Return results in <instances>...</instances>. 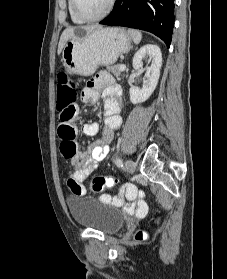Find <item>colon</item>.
<instances>
[{
  "label": "colon",
  "mask_w": 227,
  "mask_h": 279,
  "mask_svg": "<svg viewBox=\"0 0 227 279\" xmlns=\"http://www.w3.org/2000/svg\"><path fill=\"white\" fill-rule=\"evenodd\" d=\"M77 98L75 85L68 81L66 74L60 75L59 83V99L57 101V109L60 113V119L62 125L60 127L61 145L60 151L61 156L65 159H71L76 151L74 144V136L76 129L73 125H70L75 116V102ZM68 184L72 188V192L75 195H83L81 187L74 178L68 181ZM116 184V180L111 175L96 176L91 181V191L95 194H101L106 188H110ZM137 193V192H136ZM102 200L106 203H112L114 205H121L123 201L119 198L110 199L106 195H102ZM142 233L139 237H142Z\"/></svg>",
  "instance_id": "5ec220e1"
}]
</instances>
